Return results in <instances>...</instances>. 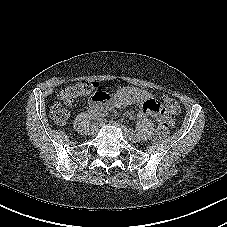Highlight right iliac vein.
<instances>
[{
	"mask_svg": "<svg viewBox=\"0 0 227 227\" xmlns=\"http://www.w3.org/2000/svg\"><path fill=\"white\" fill-rule=\"evenodd\" d=\"M98 129H99V124H98V123H97V124H93V125L91 126V128H90L91 134H92V135H95V134L98 132Z\"/></svg>",
	"mask_w": 227,
	"mask_h": 227,
	"instance_id": "obj_1",
	"label": "right iliac vein"
}]
</instances>
